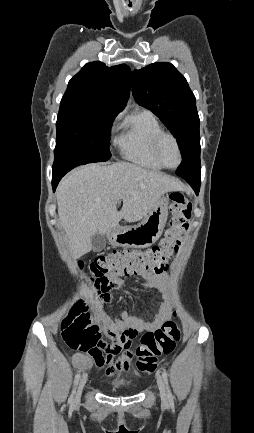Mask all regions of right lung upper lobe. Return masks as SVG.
<instances>
[{
    "mask_svg": "<svg viewBox=\"0 0 254 433\" xmlns=\"http://www.w3.org/2000/svg\"><path fill=\"white\" fill-rule=\"evenodd\" d=\"M130 74L126 64L107 67L99 61L88 63L69 81L60 107L91 105L117 115L129 98Z\"/></svg>",
    "mask_w": 254,
    "mask_h": 433,
    "instance_id": "right-lung-upper-lobe-1",
    "label": "right lung upper lobe"
}]
</instances>
